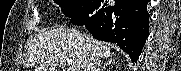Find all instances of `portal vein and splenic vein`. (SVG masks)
Returning <instances> with one entry per match:
<instances>
[{
    "label": "portal vein and splenic vein",
    "mask_w": 181,
    "mask_h": 71,
    "mask_svg": "<svg viewBox=\"0 0 181 71\" xmlns=\"http://www.w3.org/2000/svg\"><path fill=\"white\" fill-rule=\"evenodd\" d=\"M66 71H74L73 68H66Z\"/></svg>",
    "instance_id": "portal-vein-and-splenic-vein-1"
}]
</instances>
